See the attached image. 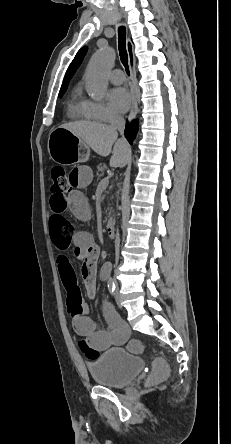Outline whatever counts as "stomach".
<instances>
[{"instance_id": "stomach-1", "label": "stomach", "mask_w": 231, "mask_h": 444, "mask_svg": "<svg viewBox=\"0 0 231 444\" xmlns=\"http://www.w3.org/2000/svg\"><path fill=\"white\" fill-rule=\"evenodd\" d=\"M50 157L59 164H75L89 159V147L69 130L58 127L48 140Z\"/></svg>"}]
</instances>
